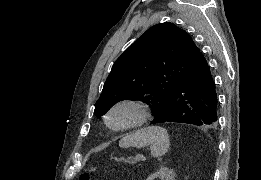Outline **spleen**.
Returning a JSON list of instances; mask_svg holds the SVG:
<instances>
[{
  "label": "spleen",
  "mask_w": 261,
  "mask_h": 180,
  "mask_svg": "<svg viewBox=\"0 0 261 180\" xmlns=\"http://www.w3.org/2000/svg\"><path fill=\"white\" fill-rule=\"evenodd\" d=\"M169 136L165 128L160 126H148L141 128L135 134H128L119 142L120 148H145L150 146L153 158L165 156L169 148Z\"/></svg>",
  "instance_id": "1"
}]
</instances>
